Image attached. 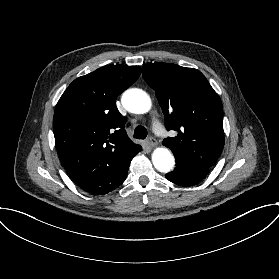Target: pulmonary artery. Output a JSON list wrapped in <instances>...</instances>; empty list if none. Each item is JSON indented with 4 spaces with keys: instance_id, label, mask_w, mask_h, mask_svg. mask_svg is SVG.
Instances as JSON below:
<instances>
[{
    "instance_id": "obj_1",
    "label": "pulmonary artery",
    "mask_w": 279,
    "mask_h": 279,
    "mask_svg": "<svg viewBox=\"0 0 279 279\" xmlns=\"http://www.w3.org/2000/svg\"><path fill=\"white\" fill-rule=\"evenodd\" d=\"M147 123L150 125V127L154 130L157 137L160 139H164L167 137L168 132L164 128L163 124L160 123V121L156 118L155 115L150 114L146 118Z\"/></svg>"
}]
</instances>
